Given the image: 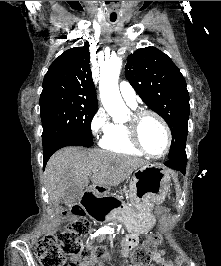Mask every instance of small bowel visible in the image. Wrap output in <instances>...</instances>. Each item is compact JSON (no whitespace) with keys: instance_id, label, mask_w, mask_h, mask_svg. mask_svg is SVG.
I'll return each mask as SVG.
<instances>
[{"instance_id":"c3829d8e","label":"small bowel","mask_w":221,"mask_h":266,"mask_svg":"<svg viewBox=\"0 0 221 266\" xmlns=\"http://www.w3.org/2000/svg\"><path fill=\"white\" fill-rule=\"evenodd\" d=\"M167 210V208H165ZM97 232H92L90 237L93 238L96 236ZM139 242V235L136 233L128 234L121 243V254L123 257H128L131 251L137 246ZM74 262L78 263V266H102L100 260L96 258H89V259H79L77 257L72 258ZM153 262L152 266H174L173 263L169 260L165 259V252L160 250L153 255Z\"/></svg>"}]
</instances>
